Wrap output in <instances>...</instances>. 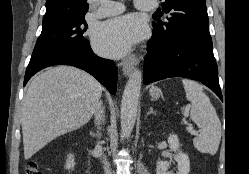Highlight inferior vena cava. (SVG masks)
<instances>
[{
  "label": "inferior vena cava",
  "mask_w": 249,
  "mask_h": 174,
  "mask_svg": "<svg viewBox=\"0 0 249 174\" xmlns=\"http://www.w3.org/2000/svg\"><path fill=\"white\" fill-rule=\"evenodd\" d=\"M101 102H98L96 108H95V112H94V115H95V123L97 125H100L101 121H102V113H103V110L101 108ZM98 149H101V147L98 145L97 146ZM103 163H104V172L105 174H111V171L109 169V163L106 161V159L104 158L103 160Z\"/></svg>",
  "instance_id": "inferior-vena-cava-1"
}]
</instances>
